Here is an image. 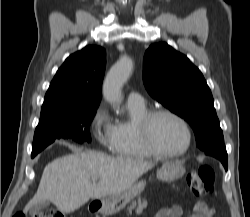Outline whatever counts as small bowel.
<instances>
[{"instance_id": "small-bowel-1", "label": "small bowel", "mask_w": 250, "mask_h": 217, "mask_svg": "<svg viewBox=\"0 0 250 217\" xmlns=\"http://www.w3.org/2000/svg\"><path fill=\"white\" fill-rule=\"evenodd\" d=\"M182 213H183L182 208L179 205H173L170 207L159 209L154 217H181ZM190 217H203V216L197 214L194 210V213Z\"/></svg>"}]
</instances>
